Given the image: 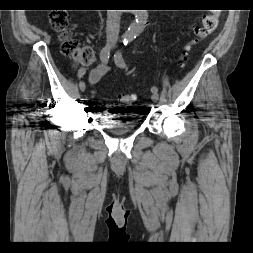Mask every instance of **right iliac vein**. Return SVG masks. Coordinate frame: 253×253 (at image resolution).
<instances>
[{
    "mask_svg": "<svg viewBox=\"0 0 253 253\" xmlns=\"http://www.w3.org/2000/svg\"><path fill=\"white\" fill-rule=\"evenodd\" d=\"M111 43H112V39L109 38V39L107 40V44H111ZM79 88H80V90H81L82 92L85 91L86 86H85V83H84L83 81H81V82L79 83Z\"/></svg>",
    "mask_w": 253,
    "mask_h": 253,
    "instance_id": "obj_1",
    "label": "right iliac vein"
}]
</instances>
